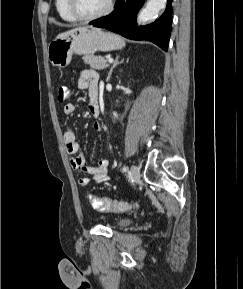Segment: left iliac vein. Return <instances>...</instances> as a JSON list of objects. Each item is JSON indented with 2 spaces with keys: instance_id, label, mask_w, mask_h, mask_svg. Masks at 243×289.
Listing matches in <instances>:
<instances>
[{
  "instance_id": "obj_1",
  "label": "left iliac vein",
  "mask_w": 243,
  "mask_h": 289,
  "mask_svg": "<svg viewBox=\"0 0 243 289\" xmlns=\"http://www.w3.org/2000/svg\"><path fill=\"white\" fill-rule=\"evenodd\" d=\"M131 177L134 183H138L140 181V170L136 165L131 166Z\"/></svg>"
}]
</instances>
